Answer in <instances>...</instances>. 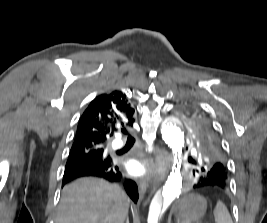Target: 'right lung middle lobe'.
Wrapping results in <instances>:
<instances>
[{
    "instance_id": "obj_1",
    "label": "right lung middle lobe",
    "mask_w": 267,
    "mask_h": 223,
    "mask_svg": "<svg viewBox=\"0 0 267 223\" xmlns=\"http://www.w3.org/2000/svg\"><path fill=\"white\" fill-rule=\"evenodd\" d=\"M111 161L110 155L104 148L93 145H83L70 150L65 171L92 162L97 164H107Z\"/></svg>"
}]
</instances>
